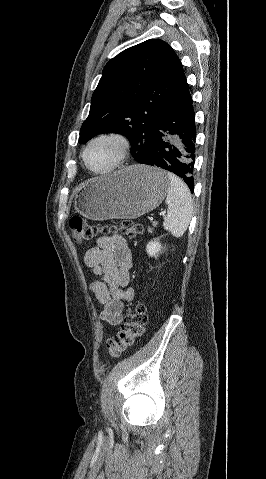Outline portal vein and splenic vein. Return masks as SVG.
<instances>
[{
    "label": "portal vein and splenic vein",
    "instance_id": "18ae733b",
    "mask_svg": "<svg viewBox=\"0 0 266 479\" xmlns=\"http://www.w3.org/2000/svg\"><path fill=\"white\" fill-rule=\"evenodd\" d=\"M165 214H166L165 211H162V212L160 213L161 216H165Z\"/></svg>",
    "mask_w": 266,
    "mask_h": 479
}]
</instances>
